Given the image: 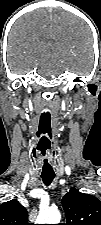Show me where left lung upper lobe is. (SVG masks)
<instances>
[{
    "instance_id": "obj_1",
    "label": "left lung upper lobe",
    "mask_w": 101,
    "mask_h": 225,
    "mask_svg": "<svg viewBox=\"0 0 101 225\" xmlns=\"http://www.w3.org/2000/svg\"><path fill=\"white\" fill-rule=\"evenodd\" d=\"M62 206L67 223L64 225H101V202L76 188L63 197Z\"/></svg>"
}]
</instances>
